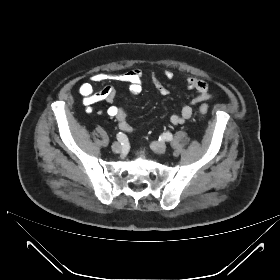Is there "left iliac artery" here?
<instances>
[{
	"mask_svg": "<svg viewBox=\"0 0 280 280\" xmlns=\"http://www.w3.org/2000/svg\"><path fill=\"white\" fill-rule=\"evenodd\" d=\"M163 139H164L165 141H171V140L173 139V136H172L171 133L166 132V133L163 134Z\"/></svg>",
	"mask_w": 280,
	"mask_h": 280,
	"instance_id": "obj_1",
	"label": "left iliac artery"
}]
</instances>
